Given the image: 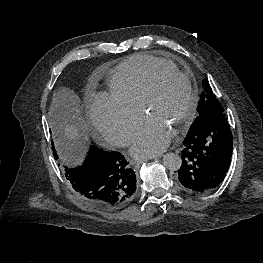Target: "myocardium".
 I'll list each match as a JSON object with an SVG mask.
<instances>
[{
    "label": "myocardium",
    "mask_w": 263,
    "mask_h": 263,
    "mask_svg": "<svg viewBox=\"0 0 263 263\" xmlns=\"http://www.w3.org/2000/svg\"><path fill=\"white\" fill-rule=\"evenodd\" d=\"M163 76H174L177 78L182 79L187 86L188 90V105L187 108L184 112V114L180 117V119L177 122L176 129L174 131L175 134L180 133L193 119L197 106H198V93L196 88L194 87L191 79L189 78L188 75L182 73L178 69H172V68H165V67H158L156 68L147 85L144 90L141 103H140V108L143 111L144 114H147L148 106L150 102L152 101L155 92H156V87L158 81L161 79Z\"/></svg>",
    "instance_id": "obj_1"
}]
</instances>
